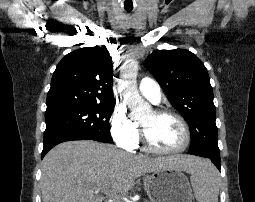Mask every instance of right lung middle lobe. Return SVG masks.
<instances>
[{
    "label": "right lung middle lobe",
    "mask_w": 255,
    "mask_h": 202,
    "mask_svg": "<svg viewBox=\"0 0 255 202\" xmlns=\"http://www.w3.org/2000/svg\"><path fill=\"white\" fill-rule=\"evenodd\" d=\"M113 109L114 103L87 104L47 113L44 137L67 132L110 143L112 138L108 124Z\"/></svg>",
    "instance_id": "obj_1"
}]
</instances>
